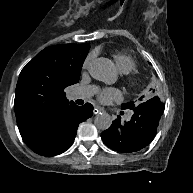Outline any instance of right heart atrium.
Returning a JSON list of instances; mask_svg holds the SVG:
<instances>
[{
  "instance_id": "d8ad5b80",
  "label": "right heart atrium",
  "mask_w": 193,
  "mask_h": 193,
  "mask_svg": "<svg viewBox=\"0 0 193 193\" xmlns=\"http://www.w3.org/2000/svg\"><path fill=\"white\" fill-rule=\"evenodd\" d=\"M90 57H88L85 61H84V63H83V70H87L88 69V67H89V63H90Z\"/></svg>"
}]
</instances>
